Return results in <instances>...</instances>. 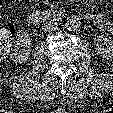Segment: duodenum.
Listing matches in <instances>:
<instances>
[{
    "label": "duodenum",
    "mask_w": 113,
    "mask_h": 113,
    "mask_svg": "<svg viewBox=\"0 0 113 113\" xmlns=\"http://www.w3.org/2000/svg\"><path fill=\"white\" fill-rule=\"evenodd\" d=\"M63 17L62 12L58 10H37L29 13L26 16V22L29 24L36 23L40 20H61Z\"/></svg>",
    "instance_id": "410a0bca"
}]
</instances>
